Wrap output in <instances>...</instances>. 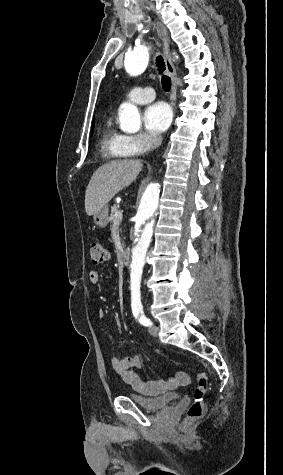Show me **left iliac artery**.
Returning a JSON list of instances; mask_svg holds the SVG:
<instances>
[{"label": "left iliac artery", "instance_id": "obj_1", "mask_svg": "<svg viewBox=\"0 0 283 475\" xmlns=\"http://www.w3.org/2000/svg\"><path fill=\"white\" fill-rule=\"evenodd\" d=\"M132 312L135 318H138L139 322L144 326H151L152 322L150 319L146 318L142 310H139L136 306H132Z\"/></svg>", "mask_w": 283, "mask_h": 475}]
</instances>
